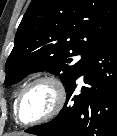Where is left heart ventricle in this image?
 <instances>
[{
	"label": "left heart ventricle",
	"instance_id": "left-heart-ventricle-1",
	"mask_svg": "<svg viewBox=\"0 0 117 136\" xmlns=\"http://www.w3.org/2000/svg\"><path fill=\"white\" fill-rule=\"evenodd\" d=\"M55 94L46 84L32 87L23 97L19 109L23 121H31L47 114L53 107Z\"/></svg>",
	"mask_w": 117,
	"mask_h": 136
}]
</instances>
